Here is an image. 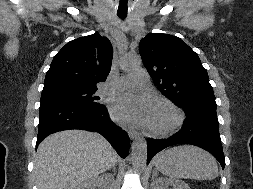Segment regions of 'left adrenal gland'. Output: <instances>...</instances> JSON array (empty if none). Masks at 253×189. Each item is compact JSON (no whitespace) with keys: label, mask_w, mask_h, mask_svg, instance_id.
I'll list each match as a JSON object with an SVG mask.
<instances>
[{"label":"left adrenal gland","mask_w":253,"mask_h":189,"mask_svg":"<svg viewBox=\"0 0 253 189\" xmlns=\"http://www.w3.org/2000/svg\"><path fill=\"white\" fill-rule=\"evenodd\" d=\"M155 176H157V170H154V171H153L152 178H154Z\"/></svg>","instance_id":"obj_1"}]
</instances>
